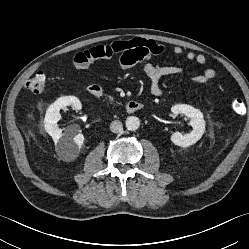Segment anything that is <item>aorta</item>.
I'll return each instance as SVG.
<instances>
[{"mask_svg":"<svg viewBox=\"0 0 249 249\" xmlns=\"http://www.w3.org/2000/svg\"><path fill=\"white\" fill-rule=\"evenodd\" d=\"M125 125H126L127 130L135 131L140 126V120L138 117L129 116L125 121Z\"/></svg>","mask_w":249,"mask_h":249,"instance_id":"762f6f07","label":"aorta"}]
</instances>
